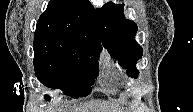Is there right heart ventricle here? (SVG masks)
Instances as JSON below:
<instances>
[{
	"label": "right heart ventricle",
	"mask_w": 193,
	"mask_h": 112,
	"mask_svg": "<svg viewBox=\"0 0 193 112\" xmlns=\"http://www.w3.org/2000/svg\"><path fill=\"white\" fill-rule=\"evenodd\" d=\"M103 63H104V67L107 68L108 64H109V56H108V54H104V56H103Z\"/></svg>",
	"instance_id": "1"
}]
</instances>
